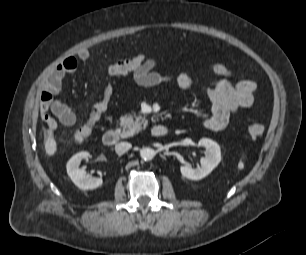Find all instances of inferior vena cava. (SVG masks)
Segmentation results:
<instances>
[{"instance_id": "602c4592", "label": "inferior vena cava", "mask_w": 306, "mask_h": 255, "mask_svg": "<svg viewBox=\"0 0 306 255\" xmlns=\"http://www.w3.org/2000/svg\"><path fill=\"white\" fill-rule=\"evenodd\" d=\"M132 147V145L128 142H121L116 144L115 146V151L117 154L122 155L125 152H127L130 148Z\"/></svg>"}]
</instances>
